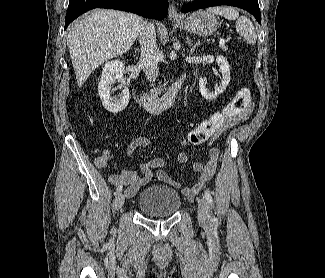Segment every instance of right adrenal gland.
<instances>
[{
    "instance_id": "obj_1",
    "label": "right adrenal gland",
    "mask_w": 325,
    "mask_h": 278,
    "mask_svg": "<svg viewBox=\"0 0 325 278\" xmlns=\"http://www.w3.org/2000/svg\"><path fill=\"white\" fill-rule=\"evenodd\" d=\"M135 50H136L137 52H139V49L136 48Z\"/></svg>"
}]
</instances>
